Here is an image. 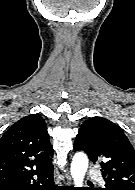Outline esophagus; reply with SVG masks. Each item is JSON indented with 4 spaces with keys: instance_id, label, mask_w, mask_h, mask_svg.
Masks as SVG:
<instances>
[{
    "instance_id": "obj_1",
    "label": "esophagus",
    "mask_w": 135,
    "mask_h": 190,
    "mask_svg": "<svg viewBox=\"0 0 135 190\" xmlns=\"http://www.w3.org/2000/svg\"><path fill=\"white\" fill-rule=\"evenodd\" d=\"M66 183L71 184V179L69 177H67Z\"/></svg>"
}]
</instances>
